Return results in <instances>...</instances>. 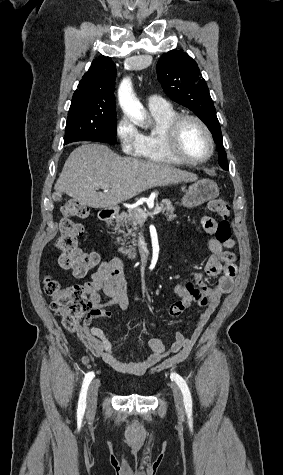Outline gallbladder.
<instances>
[{"label": "gallbladder", "mask_w": 283, "mask_h": 475, "mask_svg": "<svg viewBox=\"0 0 283 475\" xmlns=\"http://www.w3.org/2000/svg\"><path fill=\"white\" fill-rule=\"evenodd\" d=\"M52 198H53L54 202H59V200H61L62 196H61V194H57V192H54Z\"/></svg>", "instance_id": "bac80fb5"}]
</instances>
